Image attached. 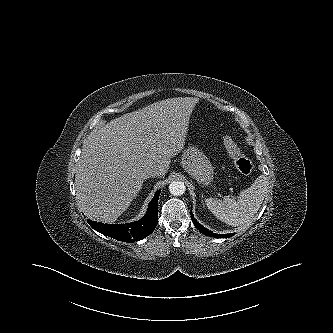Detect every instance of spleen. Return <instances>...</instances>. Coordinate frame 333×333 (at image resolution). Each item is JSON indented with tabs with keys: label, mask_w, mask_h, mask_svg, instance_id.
<instances>
[{
	"label": "spleen",
	"mask_w": 333,
	"mask_h": 333,
	"mask_svg": "<svg viewBox=\"0 0 333 333\" xmlns=\"http://www.w3.org/2000/svg\"><path fill=\"white\" fill-rule=\"evenodd\" d=\"M268 188L267 178L260 175L248 189L239 194L237 200L208 198L206 205L219 220L234 227L241 226L257 213Z\"/></svg>",
	"instance_id": "spleen-1"
}]
</instances>
